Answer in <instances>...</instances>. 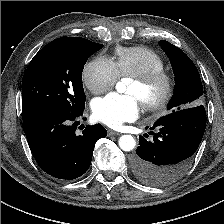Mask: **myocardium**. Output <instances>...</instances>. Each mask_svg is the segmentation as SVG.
Here are the masks:
<instances>
[{
    "mask_svg": "<svg viewBox=\"0 0 224 224\" xmlns=\"http://www.w3.org/2000/svg\"><path fill=\"white\" fill-rule=\"evenodd\" d=\"M133 79L147 90L156 85H161V90L157 95H148L142 101L144 108L148 111L163 109L174 95L175 78L165 69L151 71L144 75L133 77Z\"/></svg>",
    "mask_w": 224,
    "mask_h": 224,
    "instance_id": "1",
    "label": "myocardium"
}]
</instances>
